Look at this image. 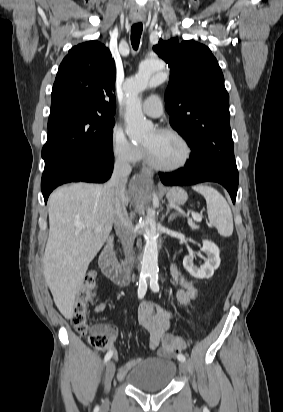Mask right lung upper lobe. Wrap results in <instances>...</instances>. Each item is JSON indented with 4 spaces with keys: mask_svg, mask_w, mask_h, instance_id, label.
<instances>
[{
    "mask_svg": "<svg viewBox=\"0 0 283 412\" xmlns=\"http://www.w3.org/2000/svg\"><path fill=\"white\" fill-rule=\"evenodd\" d=\"M116 68L111 53L98 41L70 49L63 59L53 85L50 115L69 110L95 111L114 119Z\"/></svg>",
    "mask_w": 283,
    "mask_h": 412,
    "instance_id": "right-lung-upper-lobe-1",
    "label": "right lung upper lobe"
}]
</instances>
